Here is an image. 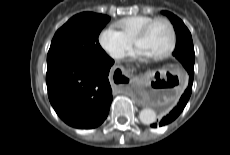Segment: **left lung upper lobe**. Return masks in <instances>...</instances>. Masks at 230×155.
Masks as SVG:
<instances>
[{
	"label": "left lung upper lobe",
	"instance_id": "obj_1",
	"mask_svg": "<svg viewBox=\"0 0 230 155\" xmlns=\"http://www.w3.org/2000/svg\"><path fill=\"white\" fill-rule=\"evenodd\" d=\"M174 25V29L177 35L176 48L173 55L182 63L183 60L194 63L195 53L193 47V41L191 33L185 26L183 21L168 11H162Z\"/></svg>",
	"mask_w": 230,
	"mask_h": 155
}]
</instances>
